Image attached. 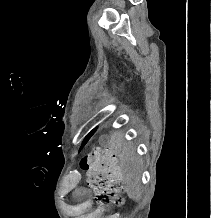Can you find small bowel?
Segmentation results:
<instances>
[{
  "label": "small bowel",
  "mask_w": 211,
  "mask_h": 218,
  "mask_svg": "<svg viewBox=\"0 0 211 218\" xmlns=\"http://www.w3.org/2000/svg\"><path fill=\"white\" fill-rule=\"evenodd\" d=\"M81 193H82V194H87L88 191H87V190H83Z\"/></svg>",
  "instance_id": "obj_1"
}]
</instances>
